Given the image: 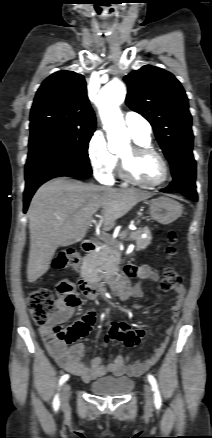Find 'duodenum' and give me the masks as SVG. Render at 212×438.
<instances>
[{
    "label": "duodenum",
    "instance_id": "410a0bca",
    "mask_svg": "<svg viewBox=\"0 0 212 438\" xmlns=\"http://www.w3.org/2000/svg\"><path fill=\"white\" fill-rule=\"evenodd\" d=\"M81 247L82 250L87 254L93 253L96 248L95 242L91 239L84 240L82 242ZM78 285L81 292L92 300H98L102 298L107 291V289L103 285H100L90 279L87 269H84L81 272ZM119 287H120V281L113 286V290L115 292H118Z\"/></svg>",
    "mask_w": 212,
    "mask_h": 438
}]
</instances>
